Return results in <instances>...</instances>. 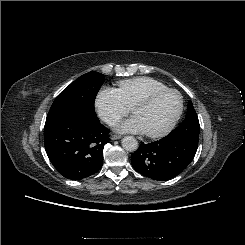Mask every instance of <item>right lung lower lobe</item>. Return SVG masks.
<instances>
[{"mask_svg":"<svg viewBox=\"0 0 245 245\" xmlns=\"http://www.w3.org/2000/svg\"><path fill=\"white\" fill-rule=\"evenodd\" d=\"M108 134L99 120L80 114H55L46 118L44 144L51 163L62 176L81 180L102 167Z\"/></svg>","mask_w":245,"mask_h":245,"instance_id":"obj_1","label":"right lung lower lobe"}]
</instances>
